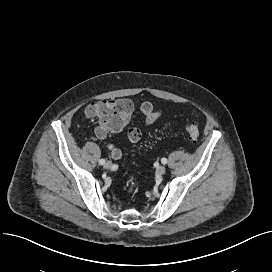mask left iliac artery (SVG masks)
I'll return each instance as SVG.
<instances>
[{
  "instance_id": "left-iliac-artery-1",
  "label": "left iliac artery",
  "mask_w": 272,
  "mask_h": 272,
  "mask_svg": "<svg viewBox=\"0 0 272 272\" xmlns=\"http://www.w3.org/2000/svg\"><path fill=\"white\" fill-rule=\"evenodd\" d=\"M161 162H162L163 164H166V163H167V159H166V158H162V159H161Z\"/></svg>"
}]
</instances>
